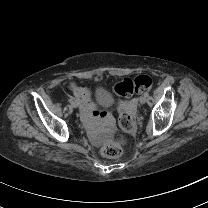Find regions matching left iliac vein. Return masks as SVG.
Instances as JSON below:
<instances>
[{
  "label": "left iliac vein",
  "mask_w": 208,
  "mask_h": 208,
  "mask_svg": "<svg viewBox=\"0 0 208 208\" xmlns=\"http://www.w3.org/2000/svg\"><path fill=\"white\" fill-rule=\"evenodd\" d=\"M141 104H144L147 101V97L146 96H141L139 99Z\"/></svg>",
  "instance_id": "1"
}]
</instances>
